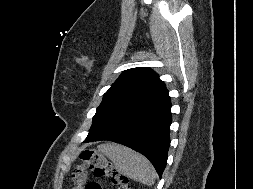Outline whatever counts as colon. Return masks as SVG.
Here are the masks:
<instances>
[{
  "instance_id": "obj_1",
  "label": "colon",
  "mask_w": 253,
  "mask_h": 189,
  "mask_svg": "<svg viewBox=\"0 0 253 189\" xmlns=\"http://www.w3.org/2000/svg\"><path fill=\"white\" fill-rule=\"evenodd\" d=\"M81 164L72 173V180L82 185L86 180V170L93 172L96 178H108L115 189H132L129 179L118 172L114 164L95 149H85L80 153ZM85 189H102L97 181L86 184Z\"/></svg>"
}]
</instances>
